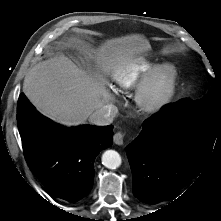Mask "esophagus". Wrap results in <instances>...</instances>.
<instances>
[{
    "mask_svg": "<svg viewBox=\"0 0 221 221\" xmlns=\"http://www.w3.org/2000/svg\"><path fill=\"white\" fill-rule=\"evenodd\" d=\"M124 139V134L122 132H117L113 136V141L117 145H122Z\"/></svg>",
    "mask_w": 221,
    "mask_h": 221,
    "instance_id": "34e87169",
    "label": "esophagus"
}]
</instances>
